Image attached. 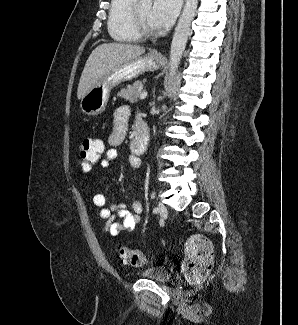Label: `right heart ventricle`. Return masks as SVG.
Returning a JSON list of instances; mask_svg holds the SVG:
<instances>
[{
	"instance_id": "right-heart-ventricle-1",
	"label": "right heart ventricle",
	"mask_w": 298,
	"mask_h": 325,
	"mask_svg": "<svg viewBox=\"0 0 298 325\" xmlns=\"http://www.w3.org/2000/svg\"><path fill=\"white\" fill-rule=\"evenodd\" d=\"M130 2L131 0H115L111 3L107 31L109 37H114V41H138L127 27Z\"/></svg>"
}]
</instances>
